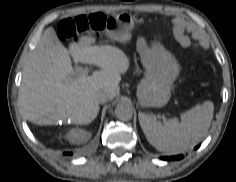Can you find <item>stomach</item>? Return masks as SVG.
<instances>
[{
  "label": "stomach",
  "mask_w": 236,
  "mask_h": 182,
  "mask_svg": "<svg viewBox=\"0 0 236 182\" xmlns=\"http://www.w3.org/2000/svg\"><path fill=\"white\" fill-rule=\"evenodd\" d=\"M121 28L110 32L118 40H129L135 19L128 13L119 16ZM145 77L137 87V98L144 107H162L171 97V86L180 73V65L175 56L159 43L141 51Z\"/></svg>",
  "instance_id": "0dacf381"
}]
</instances>
